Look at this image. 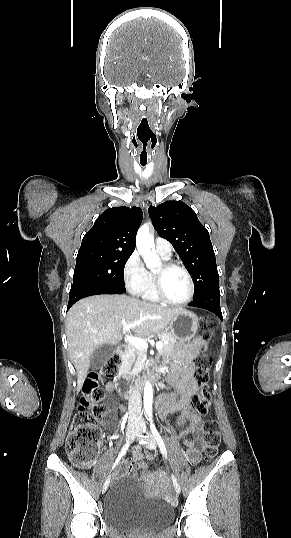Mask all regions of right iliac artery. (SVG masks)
<instances>
[{
	"label": "right iliac artery",
	"instance_id": "1",
	"mask_svg": "<svg viewBox=\"0 0 291 538\" xmlns=\"http://www.w3.org/2000/svg\"><path fill=\"white\" fill-rule=\"evenodd\" d=\"M129 445H130V442H127L123 448L121 449L115 463L113 464V467H112V470L115 468V466L119 463L120 459L126 454V451L128 450L129 448Z\"/></svg>",
	"mask_w": 291,
	"mask_h": 538
}]
</instances>
